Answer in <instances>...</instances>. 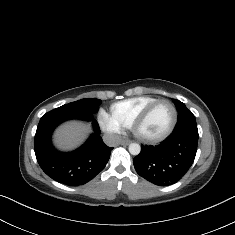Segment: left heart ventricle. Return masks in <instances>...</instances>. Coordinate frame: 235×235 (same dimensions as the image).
<instances>
[{
    "label": "left heart ventricle",
    "instance_id": "1",
    "mask_svg": "<svg viewBox=\"0 0 235 235\" xmlns=\"http://www.w3.org/2000/svg\"><path fill=\"white\" fill-rule=\"evenodd\" d=\"M173 118V108L169 103L159 104L152 112L150 118L139 129L143 137H155L164 134L169 128Z\"/></svg>",
    "mask_w": 235,
    "mask_h": 235
}]
</instances>
